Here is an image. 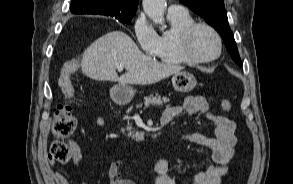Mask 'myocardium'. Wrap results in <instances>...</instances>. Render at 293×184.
Here are the masks:
<instances>
[{
    "label": "myocardium",
    "instance_id": "1",
    "mask_svg": "<svg viewBox=\"0 0 293 184\" xmlns=\"http://www.w3.org/2000/svg\"><path fill=\"white\" fill-rule=\"evenodd\" d=\"M200 28H205L209 30L217 40V45H218L217 53L211 57L199 58V57H196L191 52L190 43H191L192 36ZM178 49L181 56L190 63H194V64L209 63V62H213L217 60L221 56L222 50H223V41L218 31L210 24H207L204 22H194L193 24L186 27L180 33L178 38Z\"/></svg>",
    "mask_w": 293,
    "mask_h": 184
}]
</instances>
